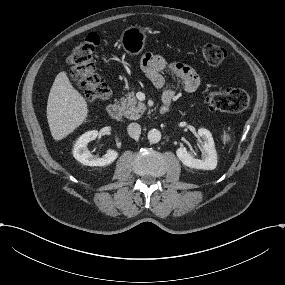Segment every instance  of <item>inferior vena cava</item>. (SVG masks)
Here are the masks:
<instances>
[{
	"label": "inferior vena cava",
	"mask_w": 285,
	"mask_h": 285,
	"mask_svg": "<svg viewBox=\"0 0 285 285\" xmlns=\"http://www.w3.org/2000/svg\"><path fill=\"white\" fill-rule=\"evenodd\" d=\"M127 131L131 137L137 138L141 133V127L138 123H130L127 127Z\"/></svg>",
	"instance_id": "602c4592"
}]
</instances>
